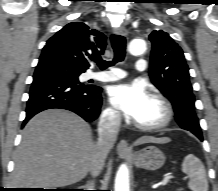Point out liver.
Returning <instances> with one entry per match:
<instances>
[{"instance_id":"1","label":"liver","mask_w":218,"mask_h":191,"mask_svg":"<svg viewBox=\"0 0 218 191\" xmlns=\"http://www.w3.org/2000/svg\"><path fill=\"white\" fill-rule=\"evenodd\" d=\"M168 142L170 138L143 136L135 144ZM95 154L91 128L82 118L67 110L43 111L23 129L12 185L50 189L75 184L90 171Z\"/></svg>"}]
</instances>
